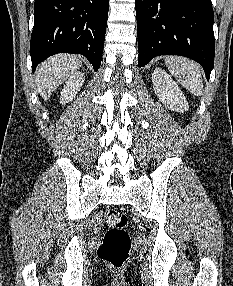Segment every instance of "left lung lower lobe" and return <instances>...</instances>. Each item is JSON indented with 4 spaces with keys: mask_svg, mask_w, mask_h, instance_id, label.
<instances>
[{
    "mask_svg": "<svg viewBox=\"0 0 233 286\" xmlns=\"http://www.w3.org/2000/svg\"><path fill=\"white\" fill-rule=\"evenodd\" d=\"M138 66L159 55H181L203 67L207 80L214 66L211 0H135Z\"/></svg>",
    "mask_w": 233,
    "mask_h": 286,
    "instance_id": "0a47b994",
    "label": "left lung lower lobe"
}]
</instances>
